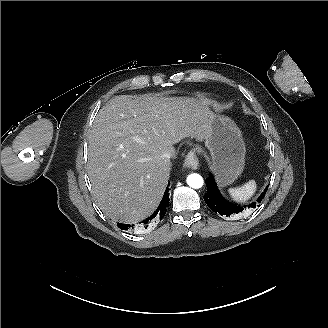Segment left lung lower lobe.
Returning a JSON list of instances; mask_svg holds the SVG:
<instances>
[{
    "instance_id": "0a47b994",
    "label": "left lung lower lobe",
    "mask_w": 328,
    "mask_h": 328,
    "mask_svg": "<svg viewBox=\"0 0 328 328\" xmlns=\"http://www.w3.org/2000/svg\"><path fill=\"white\" fill-rule=\"evenodd\" d=\"M206 186H207V192L204 195V200L207 206L217 214L230 217L237 214L245 213L246 211L251 210L256 206V202H253L250 205L243 207L226 201L219 193L212 175L206 179ZM265 193L266 191H264L260 195V197L257 199V202H260L262 200Z\"/></svg>"
}]
</instances>
